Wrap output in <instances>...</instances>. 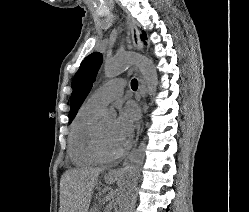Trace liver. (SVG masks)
<instances>
[{
	"label": "liver",
	"instance_id": "liver-1",
	"mask_svg": "<svg viewBox=\"0 0 249 212\" xmlns=\"http://www.w3.org/2000/svg\"><path fill=\"white\" fill-rule=\"evenodd\" d=\"M100 172H103V168H80L64 174V182L67 184V212H88ZM118 178L119 172L111 170L104 176L105 184H115Z\"/></svg>",
	"mask_w": 249,
	"mask_h": 212
}]
</instances>
